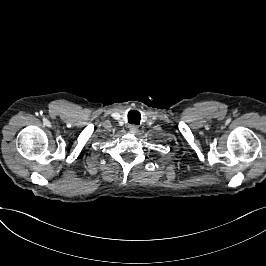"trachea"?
I'll list each match as a JSON object with an SVG mask.
<instances>
[{"instance_id":"3493384b","label":"trachea","mask_w":266,"mask_h":266,"mask_svg":"<svg viewBox=\"0 0 266 266\" xmlns=\"http://www.w3.org/2000/svg\"><path fill=\"white\" fill-rule=\"evenodd\" d=\"M140 113L136 110H131L128 113V122L130 124H136L138 125L140 123Z\"/></svg>"}]
</instances>
